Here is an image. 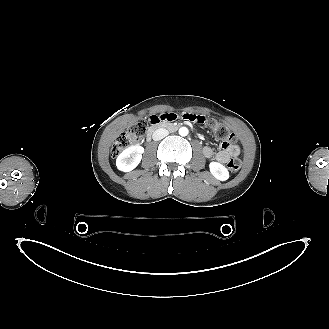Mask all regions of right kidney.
Masks as SVG:
<instances>
[{"label": "right kidney", "mask_w": 329, "mask_h": 329, "mask_svg": "<svg viewBox=\"0 0 329 329\" xmlns=\"http://www.w3.org/2000/svg\"><path fill=\"white\" fill-rule=\"evenodd\" d=\"M144 148L140 145H133L123 150L116 159V166L120 171H132L140 163Z\"/></svg>", "instance_id": "1"}]
</instances>
